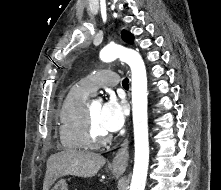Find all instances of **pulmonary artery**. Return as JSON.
Segmentation results:
<instances>
[{
	"mask_svg": "<svg viewBox=\"0 0 221 190\" xmlns=\"http://www.w3.org/2000/svg\"><path fill=\"white\" fill-rule=\"evenodd\" d=\"M119 83V75L108 69L98 70L81 79L79 82V84L90 94L95 93L99 87L115 86Z\"/></svg>",
	"mask_w": 221,
	"mask_h": 190,
	"instance_id": "1",
	"label": "pulmonary artery"
}]
</instances>
